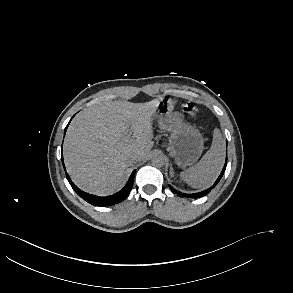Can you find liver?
<instances>
[{
  "mask_svg": "<svg viewBox=\"0 0 293 293\" xmlns=\"http://www.w3.org/2000/svg\"><path fill=\"white\" fill-rule=\"evenodd\" d=\"M159 102H102L74 117L64 141V160L79 188L104 196L122 187L128 157L137 153L143 159L154 145L152 117Z\"/></svg>",
  "mask_w": 293,
  "mask_h": 293,
  "instance_id": "1",
  "label": "liver"
}]
</instances>
